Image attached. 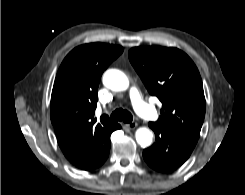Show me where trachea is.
I'll return each mask as SVG.
<instances>
[{
	"mask_svg": "<svg viewBox=\"0 0 245 195\" xmlns=\"http://www.w3.org/2000/svg\"><path fill=\"white\" fill-rule=\"evenodd\" d=\"M110 117L112 120L123 121L125 123H130L133 120L132 114L127 110H123L122 108L116 109L114 112H112Z\"/></svg>",
	"mask_w": 245,
	"mask_h": 195,
	"instance_id": "trachea-1",
	"label": "trachea"
}]
</instances>
